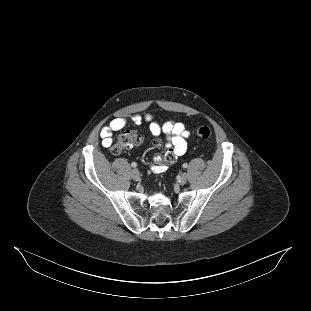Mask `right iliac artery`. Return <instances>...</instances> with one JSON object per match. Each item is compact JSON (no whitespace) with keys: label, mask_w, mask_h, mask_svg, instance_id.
<instances>
[{"label":"right iliac artery","mask_w":311,"mask_h":311,"mask_svg":"<svg viewBox=\"0 0 311 311\" xmlns=\"http://www.w3.org/2000/svg\"><path fill=\"white\" fill-rule=\"evenodd\" d=\"M131 166H132L133 168H135V167H137V164H136L135 162H132V163H131Z\"/></svg>","instance_id":"82829eb1"}]
</instances>
